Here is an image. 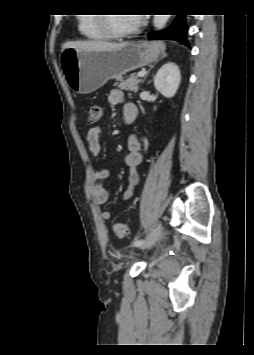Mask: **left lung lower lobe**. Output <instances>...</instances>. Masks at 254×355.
I'll return each instance as SVG.
<instances>
[{"instance_id":"obj_1","label":"left lung lower lobe","mask_w":254,"mask_h":355,"mask_svg":"<svg viewBox=\"0 0 254 355\" xmlns=\"http://www.w3.org/2000/svg\"><path fill=\"white\" fill-rule=\"evenodd\" d=\"M187 26L185 24V15L180 14L177 15L172 25L164 30L159 32L149 33V39H173L183 43L186 46H189L188 41L186 39Z\"/></svg>"}]
</instances>
